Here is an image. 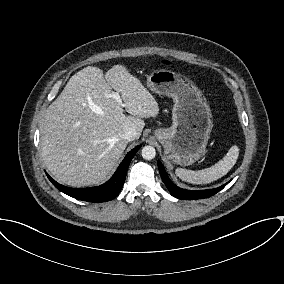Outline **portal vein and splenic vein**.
Instances as JSON below:
<instances>
[{
	"instance_id": "portal-vein-and-splenic-vein-1",
	"label": "portal vein and splenic vein",
	"mask_w": 284,
	"mask_h": 284,
	"mask_svg": "<svg viewBox=\"0 0 284 284\" xmlns=\"http://www.w3.org/2000/svg\"><path fill=\"white\" fill-rule=\"evenodd\" d=\"M110 96H111L113 99H115L118 104H120L121 106H124L123 103H122L121 97H120V95H119L118 92H112V93L110 94Z\"/></svg>"
}]
</instances>
